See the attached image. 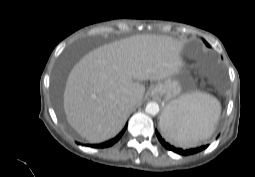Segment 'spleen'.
Segmentation results:
<instances>
[{
    "label": "spleen",
    "mask_w": 255,
    "mask_h": 177,
    "mask_svg": "<svg viewBox=\"0 0 255 177\" xmlns=\"http://www.w3.org/2000/svg\"><path fill=\"white\" fill-rule=\"evenodd\" d=\"M169 107L161 130L170 143L181 147H193L209 138L221 112L219 101L201 92L183 95Z\"/></svg>",
    "instance_id": "spleen-1"
}]
</instances>
